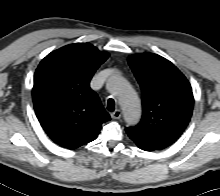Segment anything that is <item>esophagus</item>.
<instances>
[{
  "label": "esophagus",
  "mask_w": 220,
  "mask_h": 196,
  "mask_svg": "<svg viewBox=\"0 0 220 196\" xmlns=\"http://www.w3.org/2000/svg\"><path fill=\"white\" fill-rule=\"evenodd\" d=\"M122 113L121 110L117 109L114 112L111 113V117L113 119H119L121 117Z\"/></svg>",
  "instance_id": "34e87169"
}]
</instances>
